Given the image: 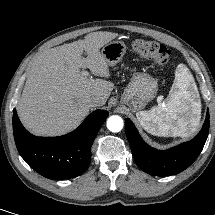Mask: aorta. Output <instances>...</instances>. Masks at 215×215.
Instances as JSON below:
<instances>
[{
  "mask_svg": "<svg viewBox=\"0 0 215 215\" xmlns=\"http://www.w3.org/2000/svg\"><path fill=\"white\" fill-rule=\"evenodd\" d=\"M107 128L111 132H119L123 128V119L120 116L113 115L107 120Z\"/></svg>",
  "mask_w": 215,
  "mask_h": 215,
  "instance_id": "aorta-1",
  "label": "aorta"
}]
</instances>
